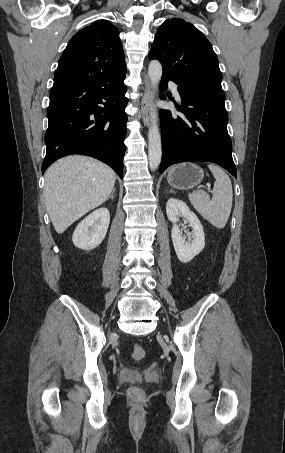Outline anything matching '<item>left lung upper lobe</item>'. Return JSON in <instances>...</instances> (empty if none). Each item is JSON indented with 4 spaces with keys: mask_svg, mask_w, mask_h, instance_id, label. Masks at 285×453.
<instances>
[{
    "mask_svg": "<svg viewBox=\"0 0 285 453\" xmlns=\"http://www.w3.org/2000/svg\"><path fill=\"white\" fill-rule=\"evenodd\" d=\"M149 57L158 59L163 74L186 88L225 101L217 56L192 24L180 18L166 20L157 30Z\"/></svg>",
    "mask_w": 285,
    "mask_h": 453,
    "instance_id": "1",
    "label": "left lung upper lobe"
}]
</instances>
